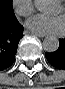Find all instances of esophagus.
I'll return each instance as SVG.
<instances>
[{
	"mask_svg": "<svg viewBox=\"0 0 65 89\" xmlns=\"http://www.w3.org/2000/svg\"><path fill=\"white\" fill-rule=\"evenodd\" d=\"M32 34H34L35 36H38V37H45V35L44 34H36V33H33V32H31Z\"/></svg>",
	"mask_w": 65,
	"mask_h": 89,
	"instance_id": "34e87169",
	"label": "esophagus"
}]
</instances>
